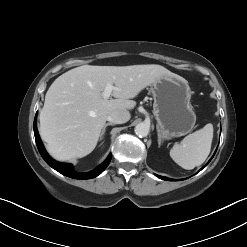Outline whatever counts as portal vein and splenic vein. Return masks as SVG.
Masks as SVG:
<instances>
[{
	"label": "portal vein and splenic vein",
	"mask_w": 247,
	"mask_h": 247,
	"mask_svg": "<svg viewBox=\"0 0 247 247\" xmlns=\"http://www.w3.org/2000/svg\"><path fill=\"white\" fill-rule=\"evenodd\" d=\"M113 90H118V89L115 86H113L111 83H107L104 91L102 92L103 98L108 99Z\"/></svg>",
	"instance_id": "obj_1"
}]
</instances>
